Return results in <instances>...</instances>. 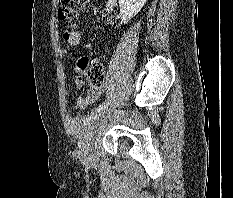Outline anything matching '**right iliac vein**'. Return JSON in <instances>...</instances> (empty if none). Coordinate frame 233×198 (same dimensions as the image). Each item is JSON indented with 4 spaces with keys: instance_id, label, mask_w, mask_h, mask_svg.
I'll return each mask as SVG.
<instances>
[{
    "instance_id": "right-iliac-vein-1",
    "label": "right iliac vein",
    "mask_w": 233,
    "mask_h": 198,
    "mask_svg": "<svg viewBox=\"0 0 233 198\" xmlns=\"http://www.w3.org/2000/svg\"><path fill=\"white\" fill-rule=\"evenodd\" d=\"M109 110H111V108H110V109H107V111H109ZM104 113H105V111L101 112L100 114H104Z\"/></svg>"
}]
</instances>
